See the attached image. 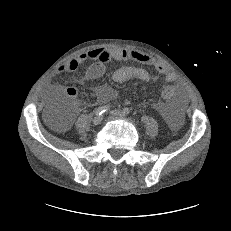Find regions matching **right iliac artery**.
<instances>
[{
  "mask_svg": "<svg viewBox=\"0 0 231 231\" xmlns=\"http://www.w3.org/2000/svg\"><path fill=\"white\" fill-rule=\"evenodd\" d=\"M109 109V106L106 105V106H100L98 107L96 110H95V114L96 115H102L103 113H105L107 110Z\"/></svg>",
  "mask_w": 231,
  "mask_h": 231,
  "instance_id": "1",
  "label": "right iliac artery"
}]
</instances>
